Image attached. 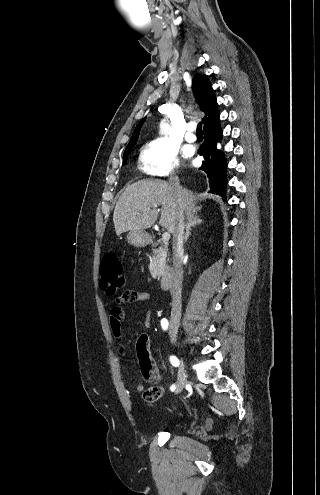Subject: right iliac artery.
<instances>
[{"instance_id":"1","label":"right iliac artery","mask_w":320,"mask_h":495,"mask_svg":"<svg viewBox=\"0 0 320 495\" xmlns=\"http://www.w3.org/2000/svg\"><path fill=\"white\" fill-rule=\"evenodd\" d=\"M168 325H169L168 320H167L166 318H163V319L161 320V327H162L164 330H167V329H168ZM170 362H171V364H172L174 367H178V366H179V360H178V358H177L176 356H174V355H171V356H170ZM175 388H176V387H175V385H172V386L170 387L171 391H174V390H175Z\"/></svg>"}]
</instances>
